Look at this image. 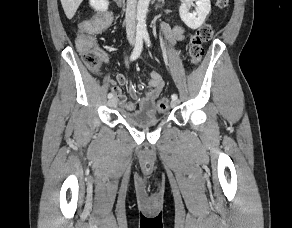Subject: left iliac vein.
<instances>
[{
  "instance_id": "4c4485c4",
  "label": "left iliac vein",
  "mask_w": 292,
  "mask_h": 228,
  "mask_svg": "<svg viewBox=\"0 0 292 228\" xmlns=\"http://www.w3.org/2000/svg\"><path fill=\"white\" fill-rule=\"evenodd\" d=\"M178 103H179L178 100H173V99H172V101H171V106H172V107H175V106L178 105Z\"/></svg>"
}]
</instances>
